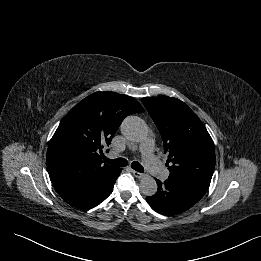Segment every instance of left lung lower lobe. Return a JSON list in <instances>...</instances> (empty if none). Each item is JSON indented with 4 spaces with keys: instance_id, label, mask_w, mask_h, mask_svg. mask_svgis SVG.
<instances>
[{
    "instance_id": "1",
    "label": "left lung lower lobe",
    "mask_w": 261,
    "mask_h": 261,
    "mask_svg": "<svg viewBox=\"0 0 261 261\" xmlns=\"http://www.w3.org/2000/svg\"><path fill=\"white\" fill-rule=\"evenodd\" d=\"M158 190L155 195L146 197L149 205L158 213L174 215L184 212L195 205L207 189L182 181L156 179Z\"/></svg>"
}]
</instances>
